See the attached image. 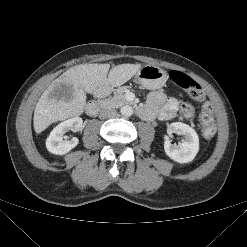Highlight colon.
I'll use <instances>...</instances> for the list:
<instances>
[{"mask_svg":"<svg viewBox=\"0 0 247 247\" xmlns=\"http://www.w3.org/2000/svg\"><path fill=\"white\" fill-rule=\"evenodd\" d=\"M169 78L175 85L185 90L193 100L204 101L205 94L202 87L185 73L172 70L169 72ZM181 113L185 118L191 119L196 115V108L192 104L184 103L181 106ZM201 132L206 139H212L216 133L214 109L210 103H205L202 106Z\"/></svg>","mask_w":247,"mask_h":247,"instance_id":"5ec220e1","label":"colon"}]
</instances>
